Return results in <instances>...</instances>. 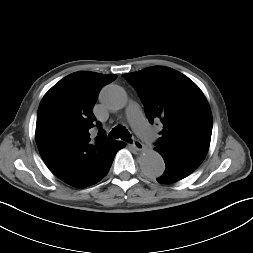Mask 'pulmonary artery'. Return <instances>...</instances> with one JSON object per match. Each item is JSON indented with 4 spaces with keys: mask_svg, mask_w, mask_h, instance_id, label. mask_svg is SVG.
Here are the masks:
<instances>
[{
    "mask_svg": "<svg viewBox=\"0 0 253 253\" xmlns=\"http://www.w3.org/2000/svg\"><path fill=\"white\" fill-rule=\"evenodd\" d=\"M128 118L130 119V121L132 123H135L138 120H141L142 118V114H141V110L137 105H132L128 108ZM147 133H148V137L149 139H153L154 138V133L152 132V130H150L149 128H145Z\"/></svg>",
    "mask_w": 253,
    "mask_h": 253,
    "instance_id": "pulmonary-artery-1",
    "label": "pulmonary artery"
}]
</instances>
